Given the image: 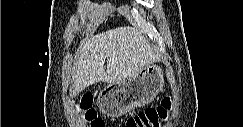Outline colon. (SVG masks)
<instances>
[{
	"label": "colon",
	"mask_w": 243,
	"mask_h": 127,
	"mask_svg": "<svg viewBox=\"0 0 243 127\" xmlns=\"http://www.w3.org/2000/svg\"><path fill=\"white\" fill-rule=\"evenodd\" d=\"M173 101L170 97L163 99L157 107L147 108L127 119L125 127H158L166 121L172 109ZM76 108L83 122L90 127H104V121L97 116L93 107V95L84 93L76 101Z\"/></svg>",
	"instance_id": "colon-1"
}]
</instances>
